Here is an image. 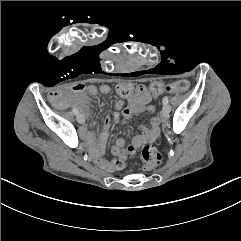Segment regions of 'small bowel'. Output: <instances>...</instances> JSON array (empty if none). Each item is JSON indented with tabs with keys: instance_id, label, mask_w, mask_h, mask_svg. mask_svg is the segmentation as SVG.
Returning a JSON list of instances; mask_svg holds the SVG:
<instances>
[{
	"instance_id": "c3829d8e",
	"label": "small bowel",
	"mask_w": 241,
	"mask_h": 241,
	"mask_svg": "<svg viewBox=\"0 0 241 241\" xmlns=\"http://www.w3.org/2000/svg\"><path fill=\"white\" fill-rule=\"evenodd\" d=\"M74 94L75 105L82 113L86 114L88 112L89 103L85 94L95 96L97 94L107 95L110 93L109 85L101 84L99 86L95 85H84L75 84L68 89L63 90L61 93L58 90L49 92L47 98L52 100L54 98H60L63 103L70 100L69 94ZM159 95H152L148 92L147 87L144 85L134 86L133 94L127 98L128 103L125 105L122 101L117 102V109L122 111L123 123H126L132 116L133 113H148L150 118L149 126L144 124L139 125L141 131L140 135L134 137L131 143L126 146L125 141L122 138L116 140L115 144L111 149V153L121 160H126L127 157L135 153L142 145L155 142V140L160 135V119L157 116V108L152 103L153 97H158ZM110 119L105 118L103 120L102 130L100 132L99 138L96 140L91 131L87 129L82 130V135L89 140L90 144L93 145V150L95 154V162L102 168H110V163L100 157L99 155L103 153L105 145L109 137Z\"/></svg>"
}]
</instances>
